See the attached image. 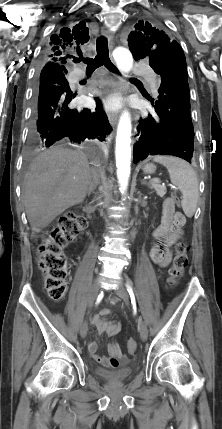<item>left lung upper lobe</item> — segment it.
<instances>
[{"label":"left lung upper lobe","mask_w":222,"mask_h":429,"mask_svg":"<svg viewBox=\"0 0 222 429\" xmlns=\"http://www.w3.org/2000/svg\"><path fill=\"white\" fill-rule=\"evenodd\" d=\"M128 44L137 61L149 58L150 66L158 73L166 65L175 66L187 76L186 59L183 49L176 40L168 37L148 22L140 21L129 34Z\"/></svg>","instance_id":"1"}]
</instances>
